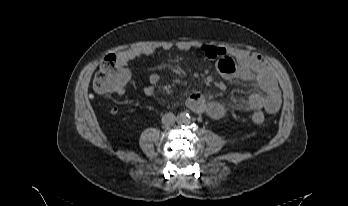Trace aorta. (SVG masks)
Listing matches in <instances>:
<instances>
[{
  "mask_svg": "<svg viewBox=\"0 0 348 206\" xmlns=\"http://www.w3.org/2000/svg\"><path fill=\"white\" fill-rule=\"evenodd\" d=\"M191 118L189 116L188 113H180L178 116H177V121L178 123L180 124H188L190 122Z\"/></svg>",
  "mask_w": 348,
  "mask_h": 206,
  "instance_id": "762f6f07",
  "label": "aorta"
}]
</instances>
